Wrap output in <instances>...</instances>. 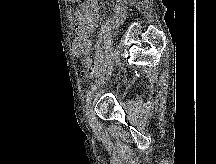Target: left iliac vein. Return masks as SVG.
Here are the masks:
<instances>
[{
    "label": "left iliac vein",
    "mask_w": 216,
    "mask_h": 164,
    "mask_svg": "<svg viewBox=\"0 0 216 164\" xmlns=\"http://www.w3.org/2000/svg\"><path fill=\"white\" fill-rule=\"evenodd\" d=\"M104 82L101 83L100 87L96 90V92L94 94H92L93 96H91V101H90V105L87 109V115H86V120L88 122V124L91 127H95V120H94V105H95V100H96V94L98 91H100L101 87L103 86Z\"/></svg>",
    "instance_id": "left-iliac-vein-1"
}]
</instances>
